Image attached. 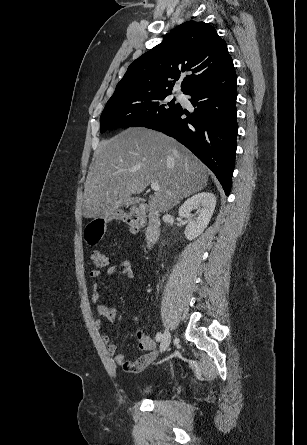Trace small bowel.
<instances>
[{"label":"small bowel","instance_id":"obj_1","mask_svg":"<svg viewBox=\"0 0 307 445\" xmlns=\"http://www.w3.org/2000/svg\"><path fill=\"white\" fill-rule=\"evenodd\" d=\"M99 270H93L90 272V279L92 282V300L94 302L95 309L99 316L113 322L117 317V309L115 306L110 305L101 300L98 293L97 280L100 277ZM116 274L124 275L128 279L134 278V270L129 259L121 260L117 265H113L107 269V275L113 276ZM97 325H100V321H97ZM102 340L106 344L108 353L113 357L114 361L123 367L124 370L130 373H139L149 366L157 356L155 351L156 344L154 340L150 339L148 345L140 344V348L147 351L144 355L139 357L135 361H131L125 355L118 352V346L115 343H111L110 337L107 334L102 335Z\"/></svg>","mask_w":307,"mask_h":445}]
</instances>
